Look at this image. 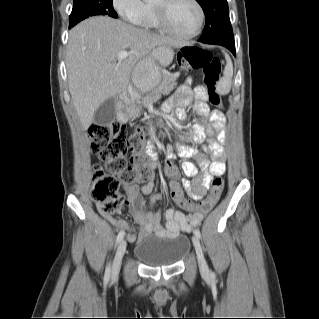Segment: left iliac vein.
<instances>
[{
  "instance_id": "left-iliac-vein-1",
  "label": "left iliac vein",
  "mask_w": 319,
  "mask_h": 319,
  "mask_svg": "<svg viewBox=\"0 0 319 319\" xmlns=\"http://www.w3.org/2000/svg\"><path fill=\"white\" fill-rule=\"evenodd\" d=\"M192 241H193V245L195 247L196 256H197V260H198L200 271L203 274H208L209 270H208L207 262H206V260L204 258L203 252H202V248H201L200 242H199V240H198V238L196 236H193Z\"/></svg>"
}]
</instances>
